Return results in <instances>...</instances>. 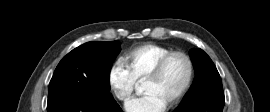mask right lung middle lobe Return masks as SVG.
<instances>
[{
    "label": "right lung middle lobe",
    "instance_id": "dd1d6c3e",
    "mask_svg": "<svg viewBox=\"0 0 270 112\" xmlns=\"http://www.w3.org/2000/svg\"><path fill=\"white\" fill-rule=\"evenodd\" d=\"M120 50L118 41L87 42L73 49L56 67L49 84L48 102L76 91L96 101L112 103L109 75Z\"/></svg>",
    "mask_w": 270,
    "mask_h": 112
}]
</instances>
